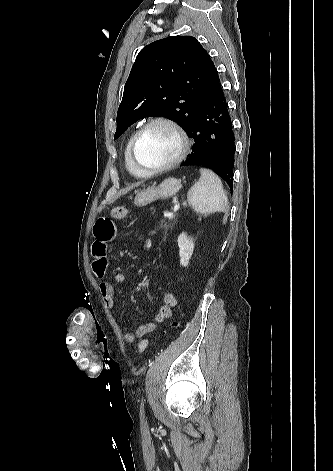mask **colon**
Returning a JSON list of instances; mask_svg holds the SVG:
<instances>
[{
    "label": "colon",
    "instance_id": "5ec220e1",
    "mask_svg": "<svg viewBox=\"0 0 333 471\" xmlns=\"http://www.w3.org/2000/svg\"><path fill=\"white\" fill-rule=\"evenodd\" d=\"M111 216L116 219H121L127 216L128 214V209L124 206H116L111 209ZM173 326H177L178 324L176 322L172 323ZM149 344V339L145 338L143 339L139 344H138V352L142 353L145 351Z\"/></svg>",
    "mask_w": 333,
    "mask_h": 471
}]
</instances>
